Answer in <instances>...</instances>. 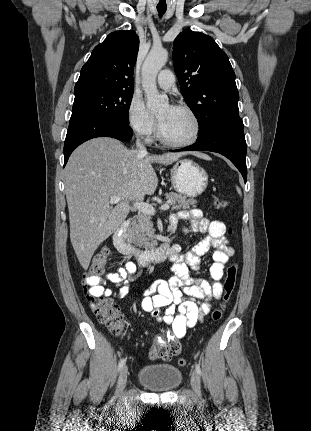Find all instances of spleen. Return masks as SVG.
Returning <instances> with one entry per match:
<instances>
[{"mask_svg":"<svg viewBox=\"0 0 311 431\" xmlns=\"http://www.w3.org/2000/svg\"><path fill=\"white\" fill-rule=\"evenodd\" d=\"M236 190H237L239 196H242V192H241L240 188H238V186H236Z\"/></svg>","mask_w":311,"mask_h":431,"instance_id":"obj_1","label":"spleen"}]
</instances>
